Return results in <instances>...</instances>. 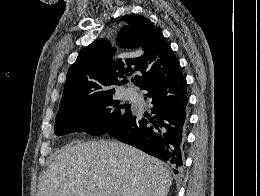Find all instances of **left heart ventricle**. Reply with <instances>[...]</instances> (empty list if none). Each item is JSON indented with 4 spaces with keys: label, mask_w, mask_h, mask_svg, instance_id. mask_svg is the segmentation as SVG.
<instances>
[{
    "label": "left heart ventricle",
    "mask_w": 260,
    "mask_h": 196,
    "mask_svg": "<svg viewBox=\"0 0 260 196\" xmlns=\"http://www.w3.org/2000/svg\"><path fill=\"white\" fill-rule=\"evenodd\" d=\"M55 192H65L64 190H55Z\"/></svg>",
    "instance_id": "b2bd125f"
}]
</instances>
